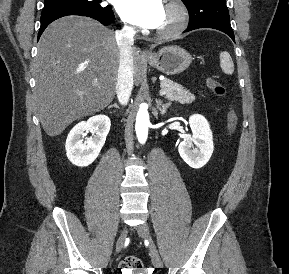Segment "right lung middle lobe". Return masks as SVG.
<instances>
[{"mask_svg": "<svg viewBox=\"0 0 289 274\" xmlns=\"http://www.w3.org/2000/svg\"><path fill=\"white\" fill-rule=\"evenodd\" d=\"M103 0H45L42 13L50 11L78 8L97 13L111 11V6L102 4Z\"/></svg>", "mask_w": 289, "mask_h": 274, "instance_id": "dd1d6c3e", "label": "right lung middle lobe"}]
</instances>
